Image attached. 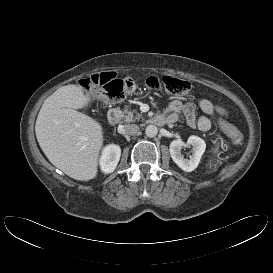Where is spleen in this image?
I'll return each instance as SVG.
<instances>
[{
    "instance_id": "1",
    "label": "spleen",
    "mask_w": 273,
    "mask_h": 273,
    "mask_svg": "<svg viewBox=\"0 0 273 273\" xmlns=\"http://www.w3.org/2000/svg\"><path fill=\"white\" fill-rule=\"evenodd\" d=\"M217 150H218V148H216V151H217ZM211 165H212V164H211V161H210V163L208 164V166L211 167Z\"/></svg>"
}]
</instances>
